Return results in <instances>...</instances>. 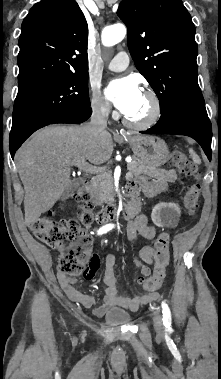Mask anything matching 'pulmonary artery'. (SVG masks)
<instances>
[{
    "label": "pulmonary artery",
    "instance_id": "obj_1",
    "mask_svg": "<svg viewBox=\"0 0 221 379\" xmlns=\"http://www.w3.org/2000/svg\"><path fill=\"white\" fill-rule=\"evenodd\" d=\"M129 65V56L126 52L122 51L108 63L107 68L114 72L125 70Z\"/></svg>",
    "mask_w": 221,
    "mask_h": 379
}]
</instances>
